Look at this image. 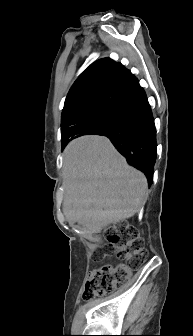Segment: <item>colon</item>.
I'll use <instances>...</instances> for the list:
<instances>
[{"instance_id":"colon-1","label":"colon","mask_w":193,"mask_h":336,"mask_svg":"<svg viewBox=\"0 0 193 336\" xmlns=\"http://www.w3.org/2000/svg\"><path fill=\"white\" fill-rule=\"evenodd\" d=\"M107 246L109 251L123 262L116 265H104L91 271L82 293V299L85 302L92 301L124 285L131 271L147 257V251L141 238L124 223H119L114 231L107 235Z\"/></svg>"}]
</instances>
